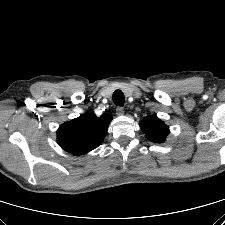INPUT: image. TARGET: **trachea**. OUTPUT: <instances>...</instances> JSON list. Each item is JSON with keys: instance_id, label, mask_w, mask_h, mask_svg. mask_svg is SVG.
<instances>
[{"instance_id": "1", "label": "trachea", "mask_w": 225, "mask_h": 225, "mask_svg": "<svg viewBox=\"0 0 225 225\" xmlns=\"http://www.w3.org/2000/svg\"><path fill=\"white\" fill-rule=\"evenodd\" d=\"M112 99L115 105L117 106L124 105V94L121 90L114 91Z\"/></svg>"}]
</instances>
